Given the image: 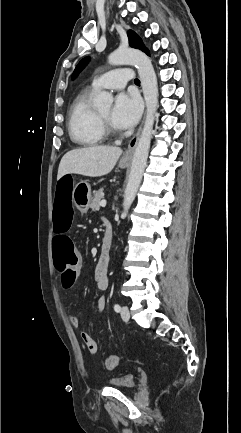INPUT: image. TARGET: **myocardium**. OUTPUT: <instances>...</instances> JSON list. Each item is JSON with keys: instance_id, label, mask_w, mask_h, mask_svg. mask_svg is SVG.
Listing matches in <instances>:
<instances>
[{"instance_id": "f54148a6", "label": "myocardium", "mask_w": 241, "mask_h": 433, "mask_svg": "<svg viewBox=\"0 0 241 433\" xmlns=\"http://www.w3.org/2000/svg\"><path fill=\"white\" fill-rule=\"evenodd\" d=\"M97 117H98L100 127L105 135L116 134L115 128L112 126V124L109 121L103 118L99 113H97Z\"/></svg>"}]
</instances>
